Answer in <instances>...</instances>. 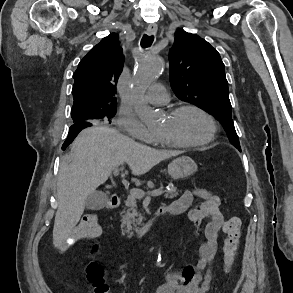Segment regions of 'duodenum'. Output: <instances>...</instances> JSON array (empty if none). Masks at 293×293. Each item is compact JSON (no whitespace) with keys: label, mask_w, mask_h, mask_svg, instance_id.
Segmentation results:
<instances>
[{"label":"duodenum","mask_w":293,"mask_h":293,"mask_svg":"<svg viewBox=\"0 0 293 293\" xmlns=\"http://www.w3.org/2000/svg\"><path fill=\"white\" fill-rule=\"evenodd\" d=\"M121 203V198L118 194H112L109 198L107 208L113 210L117 208ZM178 214V211L172 206H161L154 210L152 215L147 219V221L140 226L136 231V236H141L150 229H152L159 220L165 215Z\"/></svg>","instance_id":"duodenum-1"}]
</instances>
